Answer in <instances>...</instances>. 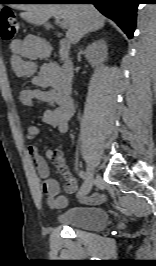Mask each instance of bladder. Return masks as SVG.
Segmentation results:
<instances>
[{
	"instance_id": "1",
	"label": "bladder",
	"mask_w": 156,
	"mask_h": 266,
	"mask_svg": "<svg viewBox=\"0 0 156 266\" xmlns=\"http://www.w3.org/2000/svg\"><path fill=\"white\" fill-rule=\"evenodd\" d=\"M57 221L63 225L96 231L105 228L109 223V214L100 207L74 206L59 213Z\"/></svg>"
}]
</instances>
